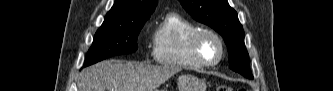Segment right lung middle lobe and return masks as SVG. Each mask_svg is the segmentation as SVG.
<instances>
[{"mask_svg":"<svg viewBox=\"0 0 333 91\" xmlns=\"http://www.w3.org/2000/svg\"><path fill=\"white\" fill-rule=\"evenodd\" d=\"M148 18L129 21L104 20L97 30L84 66H89L115 55L137 50V37Z\"/></svg>","mask_w":333,"mask_h":91,"instance_id":"dd1d6c3e","label":"right lung middle lobe"}]
</instances>
